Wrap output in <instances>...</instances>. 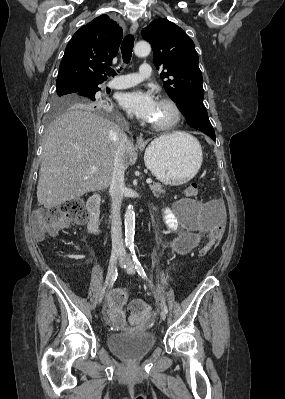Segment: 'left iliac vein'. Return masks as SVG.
<instances>
[{
  "label": "left iliac vein",
  "mask_w": 285,
  "mask_h": 399,
  "mask_svg": "<svg viewBox=\"0 0 285 399\" xmlns=\"http://www.w3.org/2000/svg\"><path fill=\"white\" fill-rule=\"evenodd\" d=\"M122 264L125 265L126 273H128L129 275H135L136 274V270H135L134 266L132 265V262L130 261V259H129V257H128L126 252H123ZM160 318H161L162 321H164L166 319V313L164 311L160 312Z\"/></svg>",
  "instance_id": "left-iliac-vein-1"
}]
</instances>
